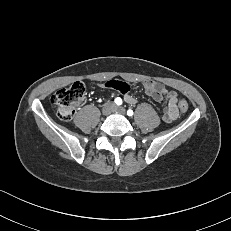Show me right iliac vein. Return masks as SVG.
<instances>
[{"mask_svg":"<svg viewBox=\"0 0 231 231\" xmlns=\"http://www.w3.org/2000/svg\"><path fill=\"white\" fill-rule=\"evenodd\" d=\"M114 107L115 106H114V104L112 102L105 103L103 108H102V114L104 116L109 115L113 111Z\"/></svg>","mask_w":231,"mask_h":231,"instance_id":"obj_1","label":"right iliac vein"}]
</instances>
